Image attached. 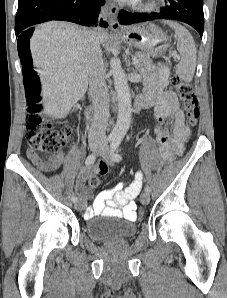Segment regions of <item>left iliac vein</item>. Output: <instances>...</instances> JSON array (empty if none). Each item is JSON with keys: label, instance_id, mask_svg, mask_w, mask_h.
<instances>
[{"label": "left iliac vein", "instance_id": "4c4485c4", "mask_svg": "<svg viewBox=\"0 0 227 298\" xmlns=\"http://www.w3.org/2000/svg\"><path fill=\"white\" fill-rule=\"evenodd\" d=\"M99 155L106 161L109 160L108 158V149L106 146H103L99 150ZM140 201L143 205H147L150 202V195L147 192H143L140 197Z\"/></svg>", "mask_w": 227, "mask_h": 298}]
</instances>
